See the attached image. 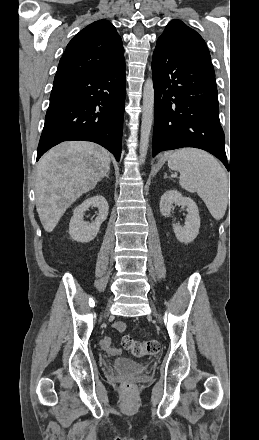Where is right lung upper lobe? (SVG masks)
<instances>
[{
  "label": "right lung upper lobe",
  "mask_w": 259,
  "mask_h": 440,
  "mask_svg": "<svg viewBox=\"0 0 259 440\" xmlns=\"http://www.w3.org/2000/svg\"><path fill=\"white\" fill-rule=\"evenodd\" d=\"M122 60L124 48L115 27L109 21L98 20L69 42L54 80L88 75Z\"/></svg>",
  "instance_id": "cb5924a9"
}]
</instances>
